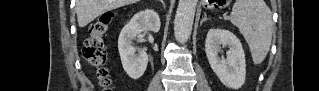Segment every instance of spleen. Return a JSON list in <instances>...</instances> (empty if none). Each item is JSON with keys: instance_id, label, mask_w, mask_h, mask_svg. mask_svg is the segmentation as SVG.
<instances>
[{"instance_id": "spleen-1", "label": "spleen", "mask_w": 319, "mask_h": 91, "mask_svg": "<svg viewBox=\"0 0 319 91\" xmlns=\"http://www.w3.org/2000/svg\"><path fill=\"white\" fill-rule=\"evenodd\" d=\"M230 21L246 40L254 64H261L272 41L273 22L269 7L263 0H236Z\"/></svg>"}]
</instances>
